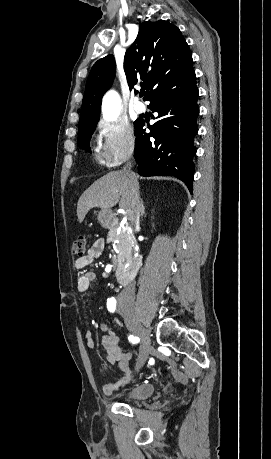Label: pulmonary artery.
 <instances>
[{"instance_id":"obj_1","label":"pulmonary artery","mask_w":271,"mask_h":459,"mask_svg":"<svg viewBox=\"0 0 271 459\" xmlns=\"http://www.w3.org/2000/svg\"><path fill=\"white\" fill-rule=\"evenodd\" d=\"M132 110L135 114H142L146 111V106L140 99H136L133 102Z\"/></svg>"}]
</instances>
